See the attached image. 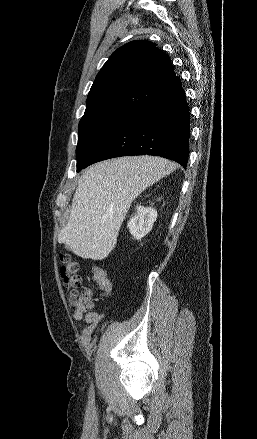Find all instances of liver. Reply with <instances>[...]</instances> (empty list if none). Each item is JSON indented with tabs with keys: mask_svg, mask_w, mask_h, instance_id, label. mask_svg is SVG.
<instances>
[{
	"mask_svg": "<svg viewBox=\"0 0 257 439\" xmlns=\"http://www.w3.org/2000/svg\"><path fill=\"white\" fill-rule=\"evenodd\" d=\"M175 169L174 163L154 156L120 157L90 166L78 181L58 242L81 258L105 259L115 248L133 200Z\"/></svg>",
	"mask_w": 257,
	"mask_h": 439,
	"instance_id": "6515ba94",
	"label": "liver"
}]
</instances>
